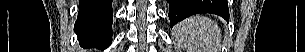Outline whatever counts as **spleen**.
I'll list each match as a JSON object with an SVG mask.
<instances>
[{
  "label": "spleen",
  "instance_id": "1",
  "mask_svg": "<svg viewBox=\"0 0 305 52\" xmlns=\"http://www.w3.org/2000/svg\"><path fill=\"white\" fill-rule=\"evenodd\" d=\"M173 35L187 52H219L222 39L218 24L203 15L181 21L174 27Z\"/></svg>",
  "mask_w": 305,
  "mask_h": 52
}]
</instances>
